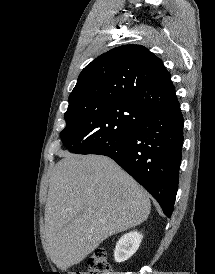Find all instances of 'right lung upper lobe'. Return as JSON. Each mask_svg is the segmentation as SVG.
<instances>
[{
  "mask_svg": "<svg viewBox=\"0 0 215 274\" xmlns=\"http://www.w3.org/2000/svg\"><path fill=\"white\" fill-rule=\"evenodd\" d=\"M119 100L153 112L179 104L162 61L140 45H123L97 57L79 75L69 103Z\"/></svg>",
  "mask_w": 215,
  "mask_h": 274,
  "instance_id": "1",
  "label": "right lung upper lobe"
}]
</instances>
